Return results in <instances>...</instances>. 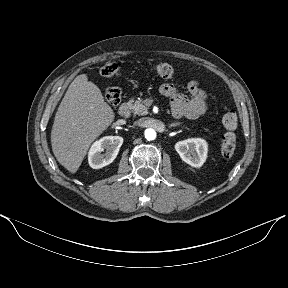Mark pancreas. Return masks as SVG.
<instances>
[{"instance_id": "1", "label": "pancreas", "mask_w": 288, "mask_h": 288, "mask_svg": "<svg viewBox=\"0 0 288 288\" xmlns=\"http://www.w3.org/2000/svg\"><path fill=\"white\" fill-rule=\"evenodd\" d=\"M129 104L132 108V112L137 115H147L148 114V108L144 105L142 99L137 100H130Z\"/></svg>"}]
</instances>
